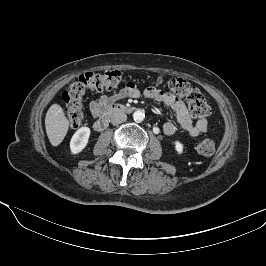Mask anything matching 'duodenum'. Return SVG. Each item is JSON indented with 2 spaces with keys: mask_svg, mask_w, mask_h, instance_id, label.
Instances as JSON below:
<instances>
[{
  "mask_svg": "<svg viewBox=\"0 0 266 266\" xmlns=\"http://www.w3.org/2000/svg\"><path fill=\"white\" fill-rule=\"evenodd\" d=\"M135 110L132 106L112 103L105 107L100 117L95 121L94 128L97 131H103L109 124L110 119L119 113H131Z\"/></svg>",
  "mask_w": 266,
  "mask_h": 266,
  "instance_id": "410a0bca",
  "label": "duodenum"
}]
</instances>
